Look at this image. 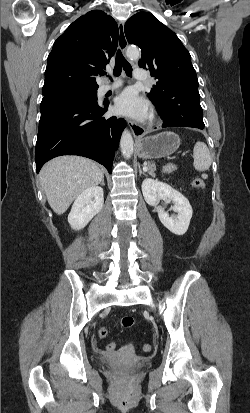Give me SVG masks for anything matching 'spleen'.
Instances as JSON below:
<instances>
[{"mask_svg":"<svg viewBox=\"0 0 250 413\" xmlns=\"http://www.w3.org/2000/svg\"><path fill=\"white\" fill-rule=\"evenodd\" d=\"M193 166L197 171L203 172L210 168L212 158L207 145L204 142H196L193 149Z\"/></svg>","mask_w":250,"mask_h":413,"instance_id":"spleen-1","label":"spleen"}]
</instances>
